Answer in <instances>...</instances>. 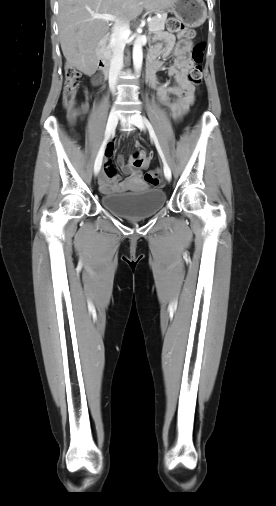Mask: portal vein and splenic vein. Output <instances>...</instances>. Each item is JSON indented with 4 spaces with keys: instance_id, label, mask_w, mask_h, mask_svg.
<instances>
[{
    "instance_id": "portal-vein-and-splenic-vein-1",
    "label": "portal vein and splenic vein",
    "mask_w": 276,
    "mask_h": 506,
    "mask_svg": "<svg viewBox=\"0 0 276 506\" xmlns=\"http://www.w3.org/2000/svg\"><path fill=\"white\" fill-rule=\"evenodd\" d=\"M92 17L93 18H97V19L106 20V21H116L117 20L116 16L108 15V14H103V15H101V14H92ZM147 21L151 22V18H149Z\"/></svg>"
}]
</instances>
